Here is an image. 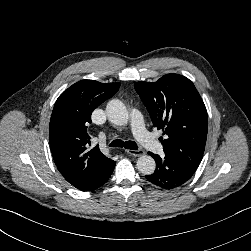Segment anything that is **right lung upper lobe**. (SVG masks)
Returning a JSON list of instances; mask_svg holds the SVG:
<instances>
[{
	"mask_svg": "<svg viewBox=\"0 0 251 251\" xmlns=\"http://www.w3.org/2000/svg\"><path fill=\"white\" fill-rule=\"evenodd\" d=\"M119 87L120 83L81 80L64 91L54 105L50 148L59 172L74 187L110 161L98 145L91 147L87 128L94 109L116 94Z\"/></svg>",
	"mask_w": 251,
	"mask_h": 251,
	"instance_id": "obj_1",
	"label": "right lung upper lobe"
}]
</instances>
